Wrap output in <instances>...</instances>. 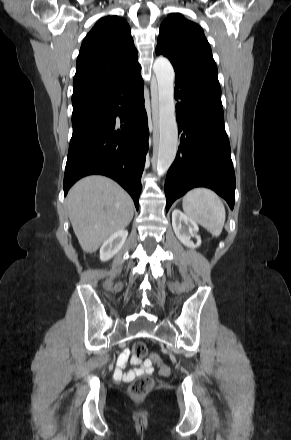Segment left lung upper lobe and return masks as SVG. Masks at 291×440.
I'll use <instances>...</instances> for the list:
<instances>
[{"instance_id": "5c2ea615", "label": "left lung upper lobe", "mask_w": 291, "mask_h": 440, "mask_svg": "<svg viewBox=\"0 0 291 440\" xmlns=\"http://www.w3.org/2000/svg\"><path fill=\"white\" fill-rule=\"evenodd\" d=\"M156 54L169 58L176 75L220 87L217 66L202 28L181 14H169L162 22Z\"/></svg>"}]
</instances>
